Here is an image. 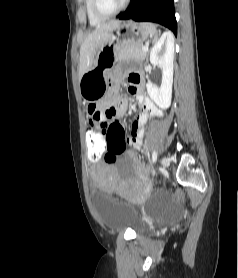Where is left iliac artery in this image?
Here are the masks:
<instances>
[{
  "instance_id": "obj_1",
  "label": "left iliac artery",
  "mask_w": 238,
  "mask_h": 278,
  "mask_svg": "<svg viewBox=\"0 0 238 278\" xmlns=\"http://www.w3.org/2000/svg\"><path fill=\"white\" fill-rule=\"evenodd\" d=\"M156 160H157V152L153 151V153H152V161H153V163H155Z\"/></svg>"
}]
</instances>
